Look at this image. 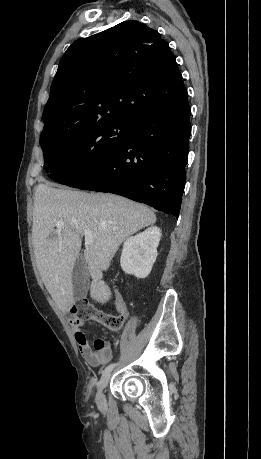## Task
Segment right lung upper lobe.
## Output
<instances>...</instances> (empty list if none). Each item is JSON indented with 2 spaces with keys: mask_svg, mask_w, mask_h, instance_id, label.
I'll use <instances>...</instances> for the list:
<instances>
[{
  "mask_svg": "<svg viewBox=\"0 0 261 459\" xmlns=\"http://www.w3.org/2000/svg\"><path fill=\"white\" fill-rule=\"evenodd\" d=\"M168 43L138 21L75 41L60 60L43 111L42 133L137 119L185 90Z\"/></svg>",
  "mask_w": 261,
  "mask_h": 459,
  "instance_id": "obj_1",
  "label": "right lung upper lobe"
}]
</instances>
